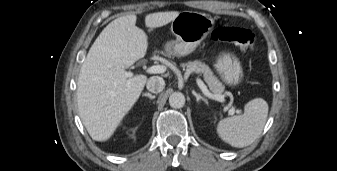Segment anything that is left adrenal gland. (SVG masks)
I'll return each instance as SVG.
<instances>
[{"mask_svg":"<svg viewBox=\"0 0 337 171\" xmlns=\"http://www.w3.org/2000/svg\"><path fill=\"white\" fill-rule=\"evenodd\" d=\"M193 95L196 97V101L199 102L200 100L204 101L206 104H208V101L206 98L201 96L200 94L196 93L194 90L192 91Z\"/></svg>","mask_w":337,"mask_h":171,"instance_id":"left-adrenal-gland-1","label":"left adrenal gland"}]
</instances>
